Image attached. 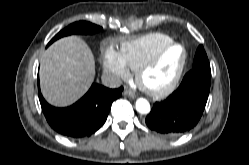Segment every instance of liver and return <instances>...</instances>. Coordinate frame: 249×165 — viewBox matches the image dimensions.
Masks as SVG:
<instances>
[{
    "instance_id": "liver-1",
    "label": "liver",
    "mask_w": 249,
    "mask_h": 165,
    "mask_svg": "<svg viewBox=\"0 0 249 165\" xmlns=\"http://www.w3.org/2000/svg\"><path fill=\"white\" fill-rule=\"evenodd\" d=\"M94 76V56L77 36L54 42L41 59V91L45 99L57 107L71 105L80 99L90 88Z\"/></svg>"
}]
</instances>
